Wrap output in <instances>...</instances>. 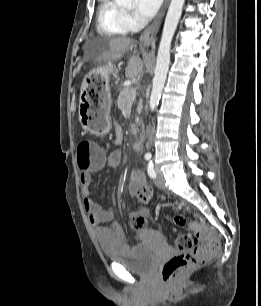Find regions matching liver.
Segmentation results:
<instances>
[{
	"mask_svg": "<svg viewBox=\"0 0 261 306\" xmlns=\"http://www.w3.org/2000/svg\"><path fill=\"white\" fill-rule=\"evenodd\" d=\"M105 51L100 55L98 61L110 63L121 59L124 54L135 47L134 40L126 37L111 38L101 42ZM143 62L139 56H132L126 67L125 76L128 79L138 77L142 74Z\"/></svg>",
	"mask_w": 261,
	"mask_h": 306,
	"instance_id": "liver-1",
	"label": "liver"
}]
</instances>
